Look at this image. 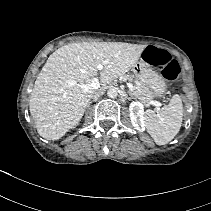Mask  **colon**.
Masks as SVG:
<instances>
[{"label": "colon", "instance_id": "colon-1", "mask_svg": "<svg viewBox=\"0 0 211 211\" xmlns=\"http://www.w3.org/2000/svg\"><path fill=\"white\" fill-rule=\"evenodd\" d=\"M144 58L151 66L160 69L165 79L175 81L179 76L180 66L169 52L149 47L145 50Z\"/></svg>", "mask_w": 211, "mask_h": 211}]
</instances>
